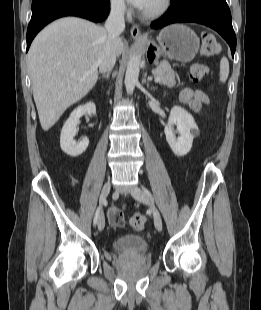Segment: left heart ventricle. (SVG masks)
<instances>
[{
    "mask_svg": "<svg viewBox=\"0 0 261 310\" xmlns=\"http://www.w3.org/2000/svg\"><path fill=\"white\" fill-rule=\"evenodd\" d=\"M160 0H149L143 11H150L156 8Z\"/></svg>",
    "mask_w": 261,
    "mask_h": 310,
    "instance_id": "left-heart-ventricle-1",
    "label": "left heart ventricle"
}]
</instances>
